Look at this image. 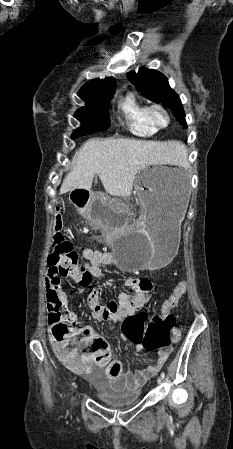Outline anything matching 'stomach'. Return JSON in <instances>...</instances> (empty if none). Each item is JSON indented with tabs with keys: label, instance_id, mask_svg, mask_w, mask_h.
I'll return each instance as SVG.
<instances>
[{
	"label": "stomach",
	"instance_id": "0dacf381",
	"mask_svg": "<svg viewBox=\"0 0 233 449\" xmlns=\"http://www.w3.org/2000/svg\"><path fill=\"white\" fill-rule=\"evenodd\" d=\"M188 179L183 168L144 167L134 181L144 214L133 225L130 201L93 197L90 206H77L95 227H106L115 235L109 246L121 270H155L169 264L180 242V225L187 208Z\"/></svg>",
	"mask_w": 233,
	"mask_h": 449
}]
</instances>
